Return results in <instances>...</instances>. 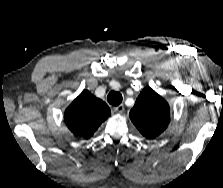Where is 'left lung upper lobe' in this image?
Segmentation results:
<instances>
[{
	"label": "left lung upper lobe",
	"instance_id": "obj_1",
	"mask_svg": "<svg viewBox=\"0 0 223 188\" xmlns=\"http://www.w3.org/2000/svg\"><path fill=\"white\" fill-rule=\"evenodd\" d=\"M130 118L143 136L154 139L167 128L170 108L164 98L146 87L136 99Z\"/></svg>",
	"mask_w": 223,
	"mask_h": 188
}]
</instances>
